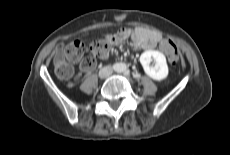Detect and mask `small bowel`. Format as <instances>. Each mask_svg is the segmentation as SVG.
Listing matches in <instances>:
<instances>
[{
  "instance_id": "obj_1",
  "label": "small bowel",
  "mask_w": 230,
  "mask_h": 155,
  "mask_svg": "<svg viewBox=\"0 0 230 155\" xmlns=\"http://www.w3.org/2000/svg\"><path fill=\"white\" fill-rule=\"evenodd\" d=\"M159 39H164L159 31L145 27H137L121 28L116 33L107 35L105 41L109 46H114L130 40L135 49L151 50L157 46V41ZM108 54L109 52L101 55L100 58L105 59L108 57ZM82 69L83 71L88 72L92 68L85 69L82 67Z\"/></svg>"
}]
</instances>
